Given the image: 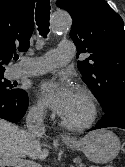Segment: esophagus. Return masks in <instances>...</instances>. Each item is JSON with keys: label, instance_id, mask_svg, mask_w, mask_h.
<instances>
[{"label": "esophagus", "instance_id": "obj_1", "mask_svg": "<svg viewBox=\"0 0 125 167\" xmlns=\"http://www.w3.org/2000/svg\"><path fill=\"white\" fill-rule=\"evenodd\" d=\"M60 138L68 139L69 137H68L67 135H65V134H61V135H60Z\"/></svg>", "mask_w": 125, "mask_h": 167}]
</instances>
